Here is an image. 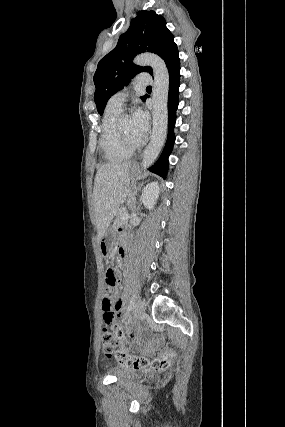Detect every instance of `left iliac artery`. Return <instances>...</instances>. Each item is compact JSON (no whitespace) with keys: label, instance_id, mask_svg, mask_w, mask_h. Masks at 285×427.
<instances>
[{"label":"left iliac artery","instance_id":"obj_1","mask_svg":"<svg viewBox=\"0 0 285 427\" xmlns=\"http://www.w3.org/2000/svg\"><path fill=\"white\" fill-rule=\"evenodd\" d=\"M135 302H136V297L133 296L130 301V304L128 305L126 316H128L129 312L135 307Z\"/></svg>","mask_w":285,"mask_h":427}]
</instances>
